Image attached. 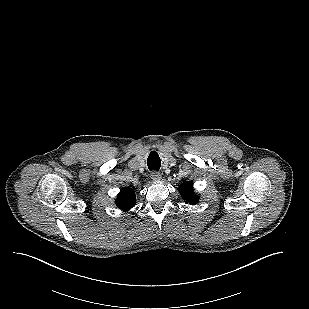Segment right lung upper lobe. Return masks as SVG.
<instances>
[{"mask_svg":"<svg viewBox=\"0 0 309 309\" xmlns=\"http://www.w3.org/2000/svg\"><path fill=\"white\" fill-rule=\"evenodd\" d=\"M136 203V196L130 188H122L118 194L116 204L123 210H130Z\"/></svg>","mask_w":309,"mask_h":309,"instance_id":"right-lung-upper-lobe-1","label":"right lung upper lobe"}]
</instances>
